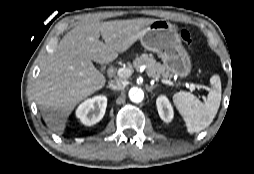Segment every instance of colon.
Returning <instances> with one entry per match:
<instances>
[{
  "instance_id": "obj_1",
  "label": "colon",
  "mask_w": 254,
  "mask_h": 174,
  "mask_svg": "<svg viewBox=\"0 0 254 174\" xmlns=\"http://www.w3.org/2000/svg\"><path fill=\"white\" fill-rule=\"evenodd\" d=\"M180 37H181L182 41L187 46H191V44H192V37H191V34L187 30H182L180 32Z\"/></svg>"
}]
</instances>
